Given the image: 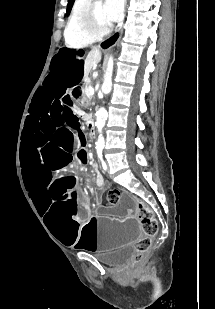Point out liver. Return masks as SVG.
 I'll use <instances>...</instances> for the list:
<instances>
[{
  "instance_id": "1",
  "label": "liver",
  "mask_w": 215,
  "mask_h": 309,
  "mask_svg": "<svg viewBox=\"0 0 215 309\" xmlns=\"http://www.w3.org/2000/svg\"><path fill=\"white\" fill-rule=\"evenodd\" d=\"M101 60V52L98 48V46H92V50L88 52L86 58H85V74H89L93 64H97V62H100Z\"/></svg>"
}]
</instances>
